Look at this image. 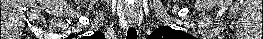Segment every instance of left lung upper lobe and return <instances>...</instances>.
I'll return each instance as SVG.
<instances>
[{"instance_id":"5c2ea615","label":"left lung upper lobe","mask_w":263,"mask_h":39,"mask_svg":"<svg viewBox=\"0 0 263 39\" xmlns=\"http://www.w3.org/2000/svg\"><path fill=\"white\" fill-rule=\"evenodd\" d=\"M149 39H192L193 36L180 31L174 30L168 26H161L151 33Z\"/></svg>"}]
</instances>
